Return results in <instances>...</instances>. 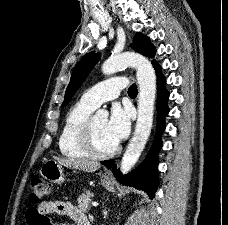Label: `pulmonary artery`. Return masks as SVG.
Listing matches in <instances>:
<instances>
[{"instance_id": "obj_1", "label": "pulmonary artery", "mask_w": 228, "mask_h": 225, "mask_svg": "<svg viewBox=\"0 0 228 225\" xmlns=\"http://www.w3.org/2000/svg\"><path fill=\"white\" fill-rule=\"evenodd\" d=\"M115 80H118V78H114L112 81H100V85H94V89L83 93L81 101L97 108L103 102L117 98L121 90H126V85L123 81Z\"/></svg>"}]
</instances>
